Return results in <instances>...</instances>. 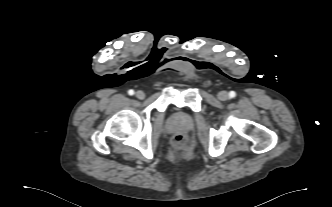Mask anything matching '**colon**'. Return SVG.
Returning <instances> with one entry per match:
<instances>
[{
	"instance_id": "1",
	"label": "colon",
	"mask_w": 332,
	"mask_h": 207,
	"mask_svg": "<svg viewBox=\"0 0 332 207\" xmlns=\"http://www.w3.org/2000/svg\"><path fill=\"white\" fill-rule=\"evenodd\" d=\"M171 146L176 150H183L187 146V139L183 135H175L171 139Z\"/></svg>"
}]
</instances>
